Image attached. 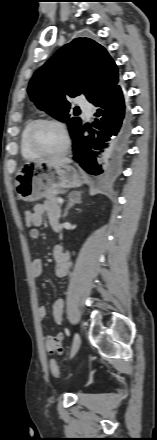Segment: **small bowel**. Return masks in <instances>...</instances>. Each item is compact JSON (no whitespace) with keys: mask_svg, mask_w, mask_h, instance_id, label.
<instances>
[{"mask_svg":"<svg viewBox=\"0 0 157 440\" xmlns=\"http://www.w3.org/2000/svg\"><path fill=\"white\" fill-rule=\"evenodd\" d=\"M33 214L35 219V225L29 231V236L32 239H37L40 232L37 227L43 223L44 215L48 217L51 228L55 231L59 228L60 208L53 201H46L44 203H38L33 208ZM53 257L55 259V270L58 277H65L70 270L71 262L69 253L63 249L62 246L56 245L53 249ZM31 271L34 278L41 276L43 271L42 261L40 259H34L31 264ZM65 306L62 299L56 300L52 305V315L56 324L62 325L64 321ZM46 309L40 306L38 309V316L40 320L46 317ZM64 338L63 333H58L55 336H47L45 338V347L48 351H53L59 347L62 349V341Z\"/></svg>","mask_w":157,"mask_h":440,"instance_id":"small-bowel-1","label":"small bowel"}]
</instances>
